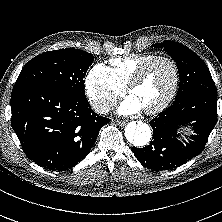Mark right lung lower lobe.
<instances>
[{
    "mask_svg": "<svg viewBox=\"0 0 222 222\" xmlns=\"http://www.w3.org/2000/svg\"><path fill=\"white\" fill-rule=\"evenodd\" d=\"M11 111L26 156L53 171L80 162L110 122L91 109L86 96L40 84L14 86Z\"/></svg>",
    "mask_w": 222,
    "mask_h": 222,
    "instance_id": "98d812e1",
    "label": "right lung lower lobe"
}]
</instances>
